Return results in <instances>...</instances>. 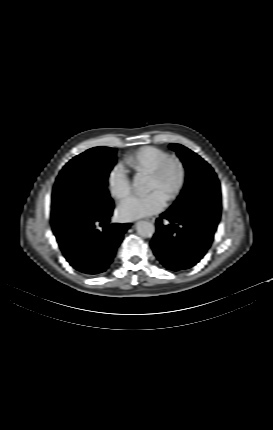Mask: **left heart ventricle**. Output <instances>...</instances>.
Returning a JSON list of instances; mask_svg holds the SVG:
<instances>
[{
  "label": "left heart ventricle",
  "mask_w": 273,
  "mask_h": 430,
  "mask_svg": "<svg viewBox=\"0 0 273 430\" xmlns=\"http://www.w3.org/2000/svg\"><path fill=\"white\" fill-rule=\"evenodd\" d=\"M176 179H177L176 170H171L167 174L165 179L161 182L150 177L148 190L149 191L158 190L166 197L168 190L175 184Z\"/></svg>",
  "instance_id": "obj_1"
}]
</instances>
